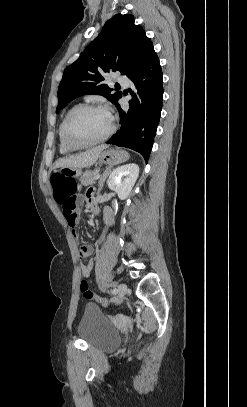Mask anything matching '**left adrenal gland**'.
I'll return each instance as SVG.
<instances>
[{
	"label": "left adrenal gland",
	"mask_w": 247,
	"mask_h": 407,
	"mask_svg": "<svg viewBox=\"0 0 247 407\" xmlns=\"http://www.w3.org/2000/svg\"><path fill=\"white\" fill-rule=\"evenodd\" d=\"M110 172H111V168L109 167L103 172L102 176L100 177L99 183H98V186H99L98 194L101 192V190L103 188V185H104V182H105V180H106V178H107V176L109 175Z\"/></svg>",
	"instance_id": "1"
}]
</instances>
